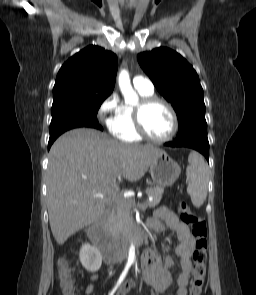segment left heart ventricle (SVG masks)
Returning <instances> with one entry per match:
<instances>
[{
    "label": "left heart ventricle",
    "mask_w": 256,
    "mask_h": 295,
    "mask_svg": "<svg viewBox=\"0 0 256 295\" xmlns=\"http://www.w3.org/2000/svg\"><path fill=\"white\" fill-rule=\"evenodd\" d=\"M143 122L147 131L157 138L169 135L173 125L170 112L160 103H155L144 111Z\"/></svg>",
    "instance_id": "1"
}]
</instances>
